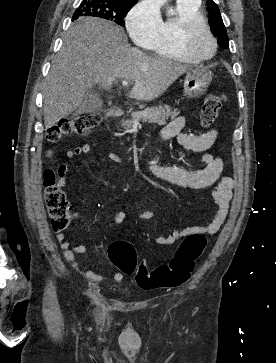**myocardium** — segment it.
<instances>
[{"instance_id":"f54148a6","label":"myocardium","mask_w":276,"mask_h":363,"mask_svg":"<svg viewBox=\"0 0 276 363\" xmlns=\"http://www.w3.org/2000/svg\"><path fill=\"white\" fill-rule=\"evenodd\" d=\"M203 29L207 33L212 42V51L209 55L202 56L195 53L190 47V38L198 30ZM179 41L180 46L187 57L194 62H206L210 60L217 52V40L211 31L208 23L199 18H193L185 21L179 28Z\"/></svg>"}]
</instances>
